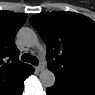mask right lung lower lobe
Returning <instances> with one entry per match:
<instances>
[{"label":"right lung lower lobe","mask_w":95,"mask_h":95,"mask_svg":"<svg viewBox=\"0 0 95 95\" xmlns=\"http://www.w3.org/2000/svg\"><path fill=\"white\" fill-rule=\"evenodd\" d=\"M33 72H34V70H33ZM33 72H32V73H33ZM32 73H31V74H32ZM31 74H30V75H31ZM22 92H23V85L18 89V91H17L14 95H21Z\"/></svg>","instance_id":"98d812e1"}]
</instances>
